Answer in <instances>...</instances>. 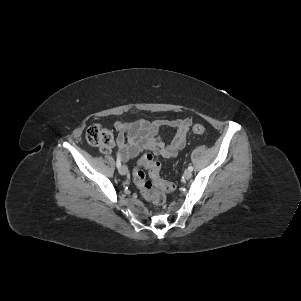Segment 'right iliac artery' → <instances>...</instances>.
Segmentation results:
<instances>
[{"instance_id": "1", "label": "right iliac artery", "mask_w": 301, "mask_h": 301, "mask_svg": "<svg viewBox=\"0 0 301 301\" xmlns=\"http://www.w3.org/2000/svg\"><path fill=\"white\" fill-rule=\"evenodd\" d=\"M116 166L118 169L121 167V158H120L119 154H117Z\"/></svg>"}]
</instances>
